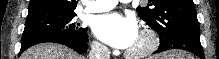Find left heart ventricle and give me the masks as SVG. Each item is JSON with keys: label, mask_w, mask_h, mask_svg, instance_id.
Returning a JSON list of instances; mask_svg holds the SVG:
<instances>
[{"label": "left heart ventricle", "mask_w": 219, "mask_h": 59, "mask_svg": "<svg viewBox=\"0 0 219 59\" xmlns=\"http://www.w3.org/2000/svg\"><path fill=\"white\" fill-rule=\"evenodd\" d=\"M145 45V40L140 35L136 38L133 44L129 47V49L137 50L142 48Z\"/></svg>", "instance_id": "left-heart-ventricle-1"}]
</instances>
